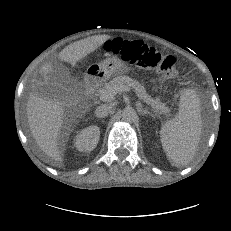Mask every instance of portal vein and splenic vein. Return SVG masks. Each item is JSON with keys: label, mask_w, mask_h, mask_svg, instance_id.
I'll return each instance as SVG.
<instances>
[{"label": "portal vein and splenic vein", "mask_w": 231, "mask_h": 231, "mask_svg": "<svg viewBox=\"0 0 231 231\" xmlns=\"http://www.w3.org/2000/svg\"><path fill=\"white\" fill-rule=\"evenodd\" d=\"M130 91V88L126 85H115L113 87H110L108 90L104 91L100 95V100L102 101H110L113 99V97L119 93V92H128Z\"/></svg>", "instance_id": "1"}]
</instances>
